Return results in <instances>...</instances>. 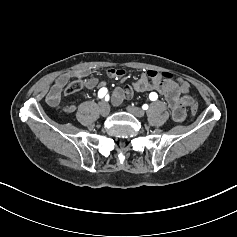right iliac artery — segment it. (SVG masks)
Returning a JSON list of instances; mask_svg holds the SVG:
<instances>
[{"instance_id":"1","label":"right iliac artery","mask_w":237,"mask_h":237,"mask_svg":"<svg viewBox=\"0 0 237 237\" xmlns=\"http://www.w3.org/2000/svg\"><path fill=\"white\" fill-rule=\"evenodd\" d=\"M108 93V90L107 88H101L99 91H98V97L99 98H103L104 96H106ZM108 96V95H107Z\"/></svg>"}]
</instances>
